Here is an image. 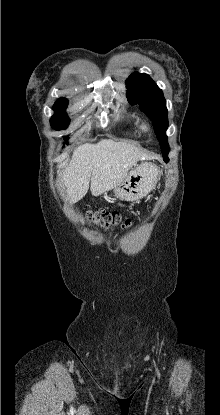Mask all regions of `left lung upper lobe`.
<instances>
[{"mask_svg": "<svg viewBox=\"0 0 220 415\" xmlns=\"http://www.w3.org/2000/svg\"><path fill=\"white\" fill-rule=\"evenodd\" d=\"M126 85L129 103L139 104L141 111L152 120L162 155L168 156V137L165 134L168 128V111L162 90L147 74L138 72L129 76Z\"/></svg>", "mask_w": 220, "mask_h": 415, "instance_id": "left-lung-upper-lobe-1", "label": "left lung upper lobe"}]
</instances>
